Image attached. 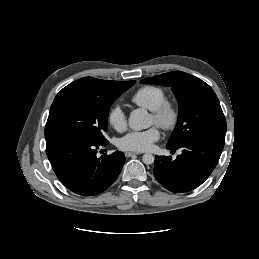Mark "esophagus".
<instances>
[{"label":"esophagus","instance_id":"34e87169","mask_svg":"<svg viewBox=\"0 0 259 259\" xmlns=\"http://www.w3.org/2000/svg\"><path fill=\"white\" fill-rule=\"evenodd\" d=\"M139 154H141V153H139V152H125V156L126 157H131V156H134V155H139Z\"/></svg>","mask_w":259,"mask_h":259}]
</instances>
